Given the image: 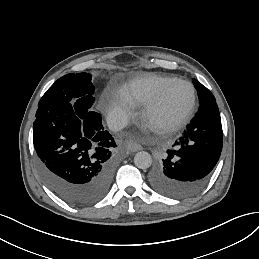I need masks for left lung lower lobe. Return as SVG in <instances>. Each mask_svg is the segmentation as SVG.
Wrapping results in <instances>:
<instances>
[{"instance_id": "1", "label": "left lung lower lobe", "mask_w": 259, "mask_h": 259, "mask_svg": "<svg viewBox=\"0 0 259 259\" xmlns=\"http://www.w3.org/2000/svg\"><path fill=\"white\" fill-rule=\"evenodd\" d=\"M222 125L216 101L200 105L182 137L149 175L151 188L167 197L187 198L201 191L222 151Z\"/></svg>"}]
</instances>
